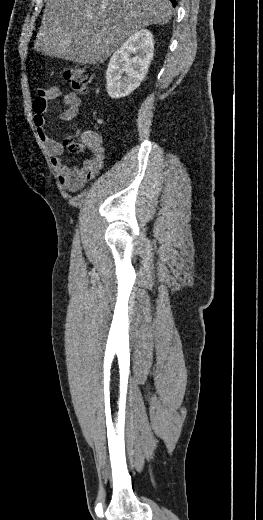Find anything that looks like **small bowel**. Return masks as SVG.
Listing matches in <instances>:
<instances>
[{
  "instance_id": "small-bowel-1",
  "label": "small bowel",
  "mask_w": 263,
  "mask_h": 520,
  "mask_svg": "<svg viewBox=\"0 0 263 520\" xmlns=\"http://www.w3.org/2000/svg\"><path fill=\"white\" fill-rule=\"evenodd\" d=\"M62 97L65 105L59 114L63 121L74 119L81 106V99L75 93L62 95L60 88L50 87L39 89L33 101V123L48 155L51 158L53 169L58 175L60 184L71 192L80 190L84 185L94 178L103 168V147L101 136L95 131H86L83 141L91 150L92 156L84 160L80 165L69 167L62 159L64 148L62 144L51 138L46 131L45 115L48 111L49 102Z\"/></svg>"
}]
</instances>
